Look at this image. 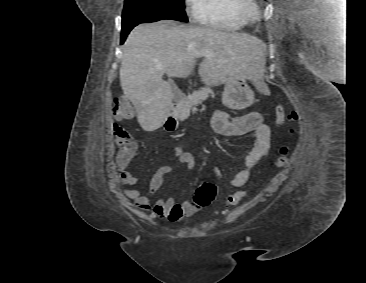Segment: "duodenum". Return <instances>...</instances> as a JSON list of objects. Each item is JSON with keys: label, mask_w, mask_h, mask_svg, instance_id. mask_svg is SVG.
I'll return each mask as SVG.
<instances>
[{"label": "duodenum", "mask_w": 366, "mask_h": 283, "mask_svg": "<svg viewBox=\"0 0 366 283\" xmlns=\"http://www.w3.org/2000/svg\"><path fill=\"white\" fill-rule=\"evenodd\" d=\"M175 127H176V119L172 115L168 116L165 122L166 130L172 131L175 129Z\"/></svg>", "instance_id": "1"}]
</instances>
